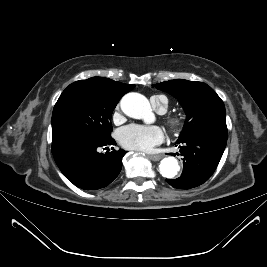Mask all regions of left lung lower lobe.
<instances>
[{
	"label": "left lung lower lobe",
	"instance_id": "1",
	"mask_svg": "<svg viewBox=\"0 0 267 267\" xmlns=\"http://www.w3.org/2000/svg\"><path fill=\"white\" fill-rule=\"evenodd\" d=\"M227 143V134L208 132L177 142L183 158V172L166 179L173 187L190 189L206 182L214 173ZM177 146V145H176Z\"/></svg>",
	"mask_w": 267,
	"mask_h": 267
}]
</instances>
